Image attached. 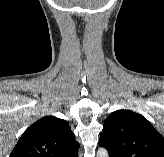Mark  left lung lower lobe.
<instances>
[{
  "instance_id": "0a47b994",
  "label": "left lung lower lobe",
  "mask_w": 164,
  "mask_h": 157,
  "mask_svg": "<svg viewBox=\"0 0 164 157\" xmlns=\"http://www.w3.org/2000/svg\"><path fill=\"white\" fill-rule=\"evenodd\" d=\"M109 157H116V156L112 152L109 151Z\"/></svg>"
}]
</instances>
